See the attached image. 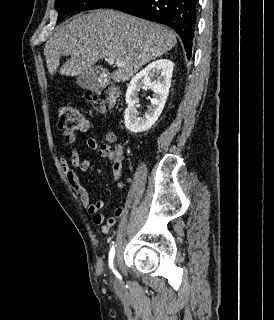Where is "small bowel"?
Segmentation results:
<instances>
[{"mask_svg":"<svg viewBox=\"0 0 274 320\" xmlns=\"http://www.w3.org/2000/svg\"><path fill=\"white\" fill-rule=\"evenodd\" d=\"M79 124L81 126L79 130L84 131L87 126L91 125V120L80 119ZM76 139V132L66 134L64 137L59 159L61 170L83 208L92 216V223L95 225H104L108 222L113 226L121 216L123 209L121 207L117 208L114 216L106 221L105 216L99 212L104 207V202L101 200L91 202L89 191L81 183L76 171H87L90 168L91 163L89 159H81L79 152L74 147ZM84 143L87 148L96 151L99 157L110 158L113 178L117 182L118 187L124 189L126 185L122 180V172L126 164V157L123 149L117 147L112 151H109L104 146L101 147L97 140L92 137L86 138Z\"/></svg>","mask_w":274,"mask_h":320,"instance_id":"obj_1","label":"small bowel"}]
</instances>
